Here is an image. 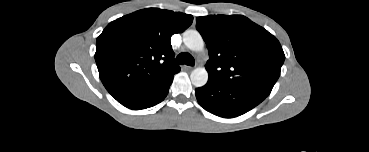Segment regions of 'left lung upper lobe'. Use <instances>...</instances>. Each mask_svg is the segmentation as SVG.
<instances>
[{
	"label": "left lung upper lobe",
	"mask_w": 369,
	"mask_h": 152,
	"mask_svg": "<svg viewBox=\"0 0 369 152\" xmlns=\"http://www.w3.org/2000/svg\"><path fill=\"white\" fill-rule=\"evenodd\" d=\"M206 42L209 78L268 96L280 76L285 55L279 41L242 15L198 17Z\"/></svg>",
	"instance_id": "1"
}]
</instances>
